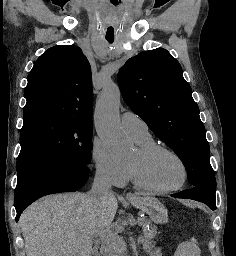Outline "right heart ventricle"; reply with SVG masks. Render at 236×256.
<instances>
[{
  "label": "right heart ventricle",
  "mask_w": 236,
  "mask_h": 256,
  "mask_svg": "<svg viewBox=\"0 0 236 256\" xmlns=\"http://www.w3.org/2000/svg\"><path fill=\"white\" fill-rule=\"evenodd\" d=\"M137 142V144H139L140 146H146V145H150L153 144L154 141L151 138V136H148L146 138L140 139V140H135ZM129 180H133L132 175H131V171L129 169Z\"/></svg>",
  "instance_id": "e07e8e85"
}]
</instances>
